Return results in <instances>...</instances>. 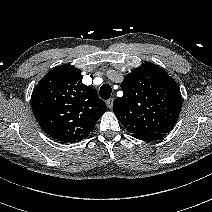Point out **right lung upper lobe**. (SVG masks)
Returning <instances> with one entry per match:
<instances>
[{"instance_id":"obj_1","label":"right lung upper lobe","mask_w":212,"mask_h":212,"mask_svg":"<svg viewBox=\"0 0 212 212\" xmlns=\"http://www.w3.org/2000/svg\"><path fill=\"white\" fill-rule=\"evenodd\" d=\"M31 105L43 131L61 143L88 137L107 110L97 92L82 83L81 71L70 64L54 68L41 79Z\"/></svg>"}]
</instances>
